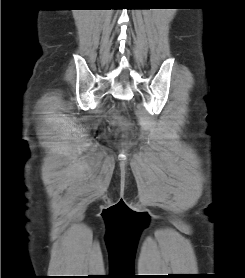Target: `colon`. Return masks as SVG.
Wrapping results in <instances>:
<instances>
[{
	"mask_svg": "<svg viewBox=\"0 0 245 278\" xmlns=\"http://www.w3.org/2000/svg\"><path fill=\"white\" fill-rule=\"evenodd\" d=\"M110 120L112 121V123H114L116 125L123 126V125L126 124L125 118L121 114V109L120 108H114L110 112Z\"/></svg>",
	"mask_w": 245,
	"mask_h": 278,
	"instance_id": "1",
	"label": "colon"
}]
</instances>
